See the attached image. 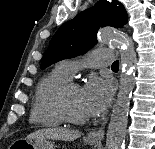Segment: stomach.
<instances>
[{
	"label": "stomach",
	"mask_w": 155,
	"mask_h": 149,
	"mask_svg": "<svg viewBox=\"0 0 155 149\" xmlns=\"http://www.w3.org/2000/svg\"><path fill=\"white\" fill-rule=\"evenodd\" d=\"M13 149H55L54 142L47 138L19 139L12 144Z\"/></svg>",
	"instance_id": "1"
}]
</instances>
